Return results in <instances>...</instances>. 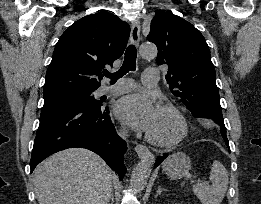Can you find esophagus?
Listing matches in <instances>:
<instances>
[{
  "mask_svg": "<svg viewBox=\"0 0 261 204\" xmlns=\"http://www.w3.org/2000/svg\"><path fill=\"white\" fill-rule=\"evenodd\" d=\"M130 41L133 45H138L140 41V23L138 20L134 21L131 24V34H130ZM135 151L138 154L140 159L146 160L148 162H154L155 157L151 153V151L142 144H137L135 146Z\"/></svg>",
  "mask_w": 261,
  "mask_h": 204,
  "instance_id": "esophagus-1",
  "label": "esophagus"
}]
</instances>
